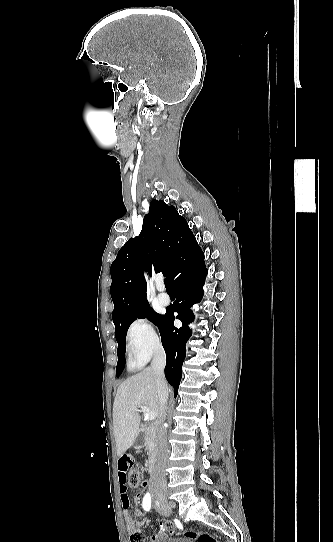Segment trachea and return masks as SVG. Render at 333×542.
I'll list each match as a JSON object with an SVG mask.
<instances>
[{
	"instance_id": "3493384b",
	"label": "trachea",
	"mask_w": 333,
	"mask_h": 542,
	"mask_svg": "<svg viewBox=\"0 0 333 542\" xmlns=\"http://www.w3.org/2000/svg\"><path fill=\"white\" fill-rule=\"evenodd\" d=\"M164 283H165V287H166L167 289H171V288H172V287H171V282H170V279H169V278H166V279L164 280Z\"/></svg>"
}]
</instances>
